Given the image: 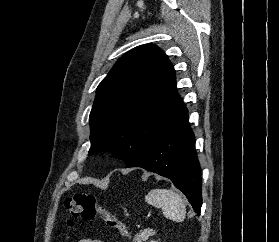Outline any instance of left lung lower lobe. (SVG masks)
<instances>
[{"mask_svg": "<svg viewBox=\"0 0 279 242\" xmlns=\"http://www.w3.org/2000/svg\"><path fill=\"white\" fill-rule=\"evenodd\" d=\"M141 167L169 178L200 214L202 182L195 151V136L188 123V110L125 168Z\"/></svg>", "mask_w": 279, "mask_h": 242, "instance_id": "obj_1", "label": "left lung lower lobe"}]
</instances>
